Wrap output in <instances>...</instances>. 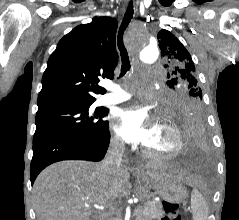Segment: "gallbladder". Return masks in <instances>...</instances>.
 Wrapping results in <instances>:
<instances>
[{"instance_id": "obj_1", "label": "gallbladder", "mask_w": 239, "mask_h": 220, "mask_svg": "<svg viewBox=\"0 0 239 220\" xmlns=\"http://www.w3.org/2000/svg\"><path fill=\"white\" fill-rule=\"evenodd\" d=\"M90 220H97L95 215H91Z\"/></svg>"}]
</instances>
